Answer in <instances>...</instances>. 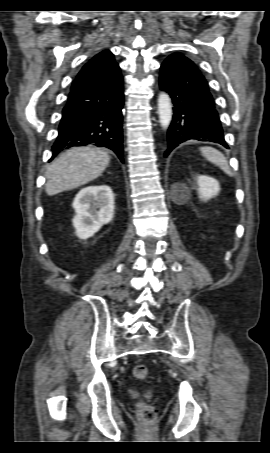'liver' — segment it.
I'll return each instance as SVG.
<instances>
[{
    "label": "liver",
    "mask_w": 270,
    "mask_h": 453,
    "mask_svg": "<svg viewBox=\"0 0 270 453\" xmlns=\"http://www.w3.org/2000/svg\"><path fill=\"white\" fill-rule=\"evenodd\" d=\"M109 162V155L100 148H71L48 166L45 191L53 196L84 185L98 178Z\"/></svg>",
    "instance_id": "obj_1"
}]
</instances>
